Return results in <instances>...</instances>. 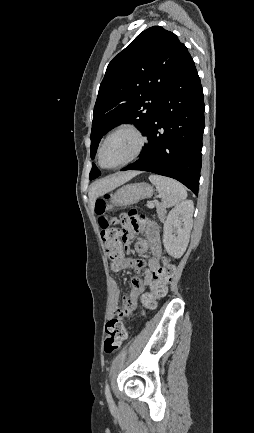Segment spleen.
<instances>
[{
  "label": "spleen",
  "mask_w": 254,
  "mask_h": 433,
  "mask_svg": "<svg viewBox=\"0 0 254 433\" xmlns=\"http://www.w3.org/2000/svg\"><path fill=\"white\" fill-rule=\"evenodd\" d=\"M149 180L156 186L164 208L175 206L187 198L185 187L174 179L152 174Z\"/></svg>",
  "instance_id": "obj_1"
}]
</instances>
